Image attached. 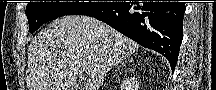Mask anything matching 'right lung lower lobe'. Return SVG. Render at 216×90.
Masks as SVG:
<instances>
[{
    "label": "right lung lower lobe",
    "instance_id": "1",
    "mask_svg": "<svg viewBox=\"0 0 216 90\" xmlns=\"http://www.w3.org/2000/svg\"><path fill=\"white\" fill-rule=\"evenodd\" d=\"M184 2H111L80 15L107 23L140 45L164 55L174 71L183 39Z\"/></svg>",
    "mask_w": 216,
    "mask_h": 90
}]
</instances>
